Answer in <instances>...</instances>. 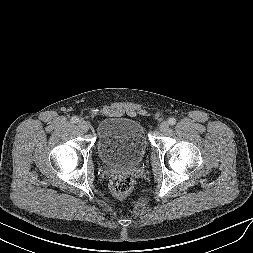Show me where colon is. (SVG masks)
<instances>
[{
  "instance_id": "obj_1",
  "label": "colon",
  "mask_w": 253,
  "mask_h": 253,
  "mask_svg": "<svg viewBox=\"0 0 253 253\" xmlns=\"http://www.w3.org/2000/svg\"><path fill=\"white\" fill-rule=\"evenodd\" d=\"M134 187V180L127 175L117 176L112 182V191L118 197L128 195Z\"/></svg>"
}]
</instances>
